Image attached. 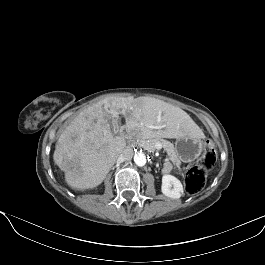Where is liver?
Wrapping results in <instances>:
<instances>
[{"label":"liver","instance_id":"1","mask_svg":"<svg viewBox=\"0 0 265 265\" xmlns=\"http://www.w3.org/2000/svg\"><path fill=\"white\" fill-rule=\"evenodd\" d=\"M123 115L128 127L137 126L148 137H203L192 118L179 107L155 98L108 97L82 110L60 135L54 162L73 189H92L106 178L126 147L114 136L109 119Z\"/></svg>","mask_w":265,"mask_h":265}]
</instances>
